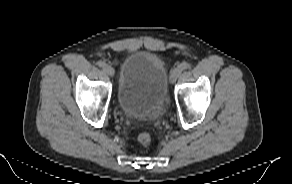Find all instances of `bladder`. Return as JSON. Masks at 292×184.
Masks as SVG:
<instances>
[{
    "instance_id": "obj_1",
    "label": "bladder",
    "mask_w": 292,
    "mask_h": 184,
    "mask_svg": "<svg viewBox=\"0 0 292 184\" xmlns=\"http://www.w3.org/2000/svg\"><path fill=\"white\" fill-rule=\"evenodd\" d=\"M168 71L161 58L150 52L129 55L122 64L117 102L128 117L158 119L168 99Z\"/></svg>"
}]
</instances>
